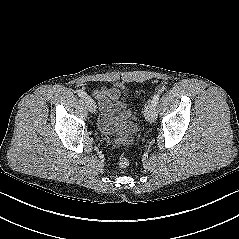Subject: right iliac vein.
<instances>
[{
  "label": "right iliac vein",
  "instance_id": "right-iliac-vein-1",
  "mask_svg": "<svg viewBox=\"0 0 239 239\" xmlns=\"http://www.w3.org/2000/svg\"><path fill=\"white\" fill-rule=\"evenodd\" d=\"M84 101L87 105L88 110L91 113H95L96 112V104H95L94 100L90 96L86 95L84 97Z\"/></svg>",
  "mask_w": 239,
  "mask_h": 239
}]
</instances>
